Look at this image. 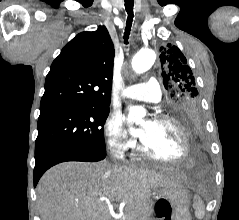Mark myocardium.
Returning a JSON list of instances; mask_svg holds the SVG:
<instances>
[{
    "label": "myocardium",
    "mask_w": 239,
    "mask_h": 220,
    "mask_svg": "<svg viewBox=\"0 0 239 220\" xmlns=\"http://www.w3.org/2000/svg\"><path fill=\"white\" fill-rule=\"evenodd\" d=\"M153 120L156 122H161V123H170L177 127V129L181 133L182 140H183V152L179 157L175 159H167V158H163L153 154L151 151L147 149L144 143L141 142L139 145L140 153L148 159L161 162V163L176 164V163H180L184 161L190 154V141H189V136L186 131V128L182 125V123L178 119L167 114L155 115Z\"/></svg>",
    "instance_id": "myocardium-1"
}]
</instances>
